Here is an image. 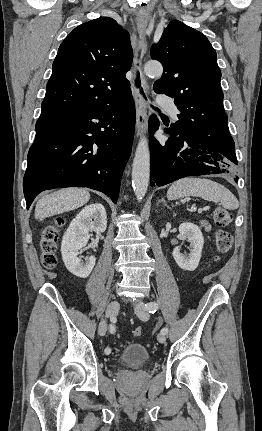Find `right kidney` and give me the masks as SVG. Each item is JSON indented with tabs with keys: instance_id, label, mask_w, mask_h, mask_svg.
<instances>
[{
	"instance_id": "obj_1",
	"label": "right kidney",
	"mask_w": 262,
	"mask_h": 431,
	"mask_svg": "<svg viewBox=\"0 0 262 431\" xmlns=\"http://www.w3.org/2000/svg\"><path fill=\"white\" fill-rule=\"evenodd\" d=\"M107 227L106 210L102 204H90L83 208L70 223L61 244L63 262L72 274L86 278L92 272L96 258L90 256L85 262L78 258L79 250L86 246L89 231L102 233Z\"/></svg>"
}]
</instances>
